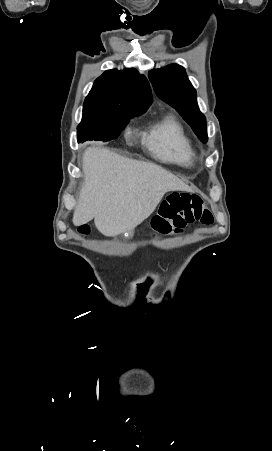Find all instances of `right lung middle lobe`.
<instances>
[{
  "instance_id": "obj_1",
  "label": "right lung middle lobe",
  "mask_w": 272,
  "mask_h": 451,
  "mask_svg": "<svg viewBox=\"0 0 272 451\" xmlns=\"http://www.w3.org/2000/svg\"><path fill=\"white\" fill-rule=\"evenodd\" d=\"M147 109L83 108L82 121L77 127L78 142L116 139L129 118L140 115Z\"/></svg>"
}]
</instances>
